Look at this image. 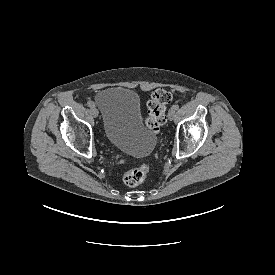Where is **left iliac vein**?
<instances>
[{
	"label": "left iliac vein",
	"instance_id": "1",
	"mask_svg": "<svg viewBox=\"0 0 275 275\" xmlns=\"http://www.w3.org/2000/svg\"><path fill=\"white\" fill-rule=\"evenodd\" d=\"M175 117V111L173 109H170L168 112V118L169 120H173Z\"/></svg>",
	"mask_w": 275,
	"mask_h": 275
}]
</instances>
